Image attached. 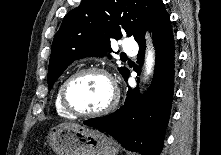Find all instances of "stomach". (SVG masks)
<instances>
[{"label":"stomach","mask_w":221,"mask_h":155,"mask_svg":"<svg viewBox=\"0 0 221 155\" xmlns=\"http://www.w3.org/2000/svg\"><path fill=\"white\" fill-rule=\"evenodd\" d=\"M48 142L56 155H117L119 151L104 133L72 123L53 127Z\"/></svg>","instance_id":"stomach-1"}]
</instances>
